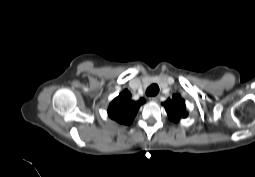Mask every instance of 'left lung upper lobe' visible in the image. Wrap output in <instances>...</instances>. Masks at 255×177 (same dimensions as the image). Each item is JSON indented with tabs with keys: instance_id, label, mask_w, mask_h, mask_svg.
<instances>
[{
	"instance_id": "5c2ea615",
	"label": "left lung upper lobe",
	"mask_w": 255,
	"mask_h": 177,
	"mask_svg": "<svg viewBox=\"0 0 255 177\" xmlns=\"http://www.w3.org/2000/svg\"><path fill=\"white\" fill-rule=\"evenodd\" d=\"M162 105L165 107L169 119L175 123L188 116L185 101L180 95H173L172 99L169 98Z\"/></svg>"
}]
</instances>
